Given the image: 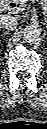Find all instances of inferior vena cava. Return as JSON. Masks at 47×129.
Masks as SVG:
<instances>
[{"mask_svg":"<svg viewBox=\"0 0 47 129\" xmlns=\"http://www.w3.org/2000/svg\"><path fill=\"white\" fill-rule=\"evenodd\" d=\"M18 26V21L15 17L3 15L0 19V27L7 30H14Z\"/></svg>","mask_w":47,"mask_h":129,"instance_id":"inferior-vena-cava-1","label":"inferior vena cava"}]
</instances>
